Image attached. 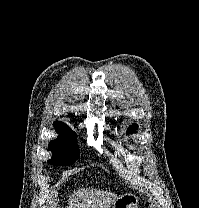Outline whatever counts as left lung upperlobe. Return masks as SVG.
<instances>
[{"instance_id": "5c2ea615", "label": "left lung upper lobe", "mask_w": 199, "mask_h": 208, "mask_svg": "<svg viewBox=\"0 0 199 208\" xmlns=\"http://www.w3.org/2000/svg\"><path fill=\"white\" fill-rule=\"evenodd\" d=\"M138 128V126L136 124L131 125L128 129L127 132L128 133H132L133 131H135Z\"/></svg>"}]
</instances>
